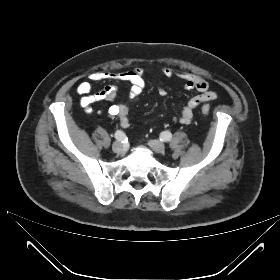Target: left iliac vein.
<instances>
[{
  "label": "left iliac vein",
  "instance_id": "obj_1",
  "mask_svg": "<svg viewBox=\"0 0 280 280\" xmlns=\"http://www.w3.org/2000/svg\"><path fill=\"white\" fill-rule=\"evenodd\" d=\"M149 147L155 151L156 153H163L165 151V145L163 142L158 140H149L148 141Z\"/></svg>",
  "mask_w": 280,
  "mask_h": 280
}]
</instances>
